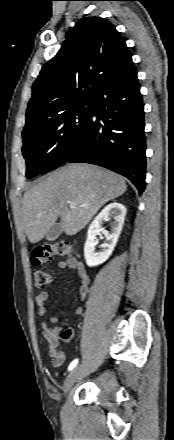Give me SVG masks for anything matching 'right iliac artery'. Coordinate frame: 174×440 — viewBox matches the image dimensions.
<instances>
[{
  "mask_svg": "<svg viewBox=\"0 0 174 440\" xmlns=\"http://www.w3.org/2000/svg\"><path fill=\"white\" fill-rule=\"evenodd\" d=\"M78 363V359H75L74 361H72L68 367V370H72Z\"/></svg>",
  "mask_w": 174,
  "mask_h": 440,
  "instance_id": "82829eb1",
  "label": "right iliac artery"
}]
</instances>
